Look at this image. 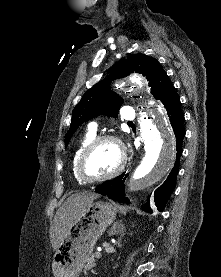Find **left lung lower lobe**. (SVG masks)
Listing matches in <instances>:
<instances>
[{"label": "left lung lower lobe", "mask_w": 221, "mask_h": 277, "mask_svg": "<svg viewBox=\"0 0 221 277\" xmlns=\"http://www.w3.org/2000/svg\"><path fill=\"white\" fill-rule=\"evenodd\" d=\"M162 103L167 110L168 116L171 121L172 128L176 137V149L177 157L173 169L171 170L169 176L165 182L155 190L154 198L155 204L159 211H162L165 207L169 196L175 188L176 176L179 171V159L182 154V142L185 136V131L183 127L184 115L180 107V99L175 91L174 86H172L164 98ZM128 176V173L121 174L111 181H107L95 189V192L106 195L118 202L129 203V200L124 197L125 186L124 182ZM147 212H152L149 203L143 208Z\"/></svg>", "instance_id": "0a47b994"}]
</instances>
